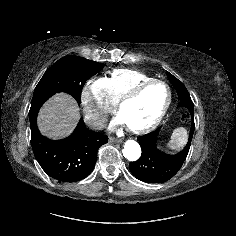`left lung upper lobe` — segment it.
Here are the masks:
<instances>
[{
  "label": "left lung upper lobe",
  "instance_id": "left-lung-upper-lobe-1",
  "mask_svg": "<svg viewBox=\"0 0 236 236\" xmlns=\"http://www.w3.org/2000/svg\"><path fill=\"white\" fill-rule=\"evenodd\" d=\"M167 76L170 79V82L172 83V85L174 86L177 94H178V99L179 100H191L190 95L186 89V87L184 86V84L179 81L176 77H174L172 74H170L169 72H167Z\"/></svg>",
  "mask_w": 236,
  "mask_h": 236
}]
</instances>
